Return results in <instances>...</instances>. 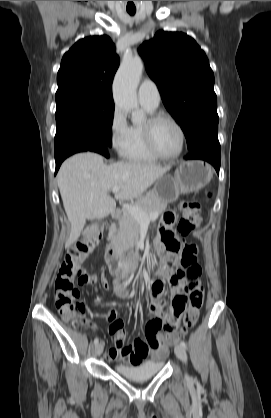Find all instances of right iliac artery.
I'll return each instance as SVG.
<instances>
[{
	"mask_svg": "<svg viewBox=\"0 0 271 418\" xmlns=\"http://www.w3.org/2000/svg\"><path fill=\"white\" fill-rule=\"evenodd\" d=\"M98 338H95V340H94V344L96 345V344H98Z\"/></svg>",
	"mask_w": 271,
	"mask_h": 418,
	"instance_id": "right-iliac-artery-1",
	"label": "right iliac artery"
}]
</instances>
